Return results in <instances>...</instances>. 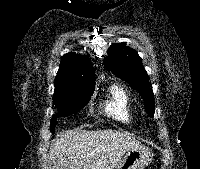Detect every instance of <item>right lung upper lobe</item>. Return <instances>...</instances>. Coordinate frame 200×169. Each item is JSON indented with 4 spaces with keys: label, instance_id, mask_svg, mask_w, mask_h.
I'll return each instance as SVG.
<instances>
[{
    "label": "right lung upper lobe",
    "instance_id": "right-lung-upper-lobe-1",
    "mask_svg": "<svg viewBox=\"0 0 200 169\" xmlns=\"http://www.w3.org/2000/svg\"><path fill=\"white\" fill-rule=\"evenodd\" d=\"M94 87L95 73L89 58L72 52L65 54L55 79L53 100L93 92Z\"/></svg>",
    "mask_w": 200,
    "mask_h": 169
}]
</instances>
